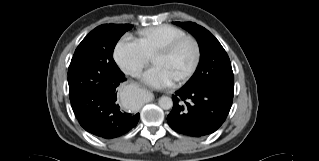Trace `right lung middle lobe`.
I'll list each match as a JSON object with an SVG mask.
<instances>
[{
  "label": "right lung middle lobe",
  "instance_id": "1",
  "mask_svg": "<svg viewBox=\"0 0 319 161\" xmlns=\"http://www.w3.org/2000/svg\"><path fill=\"white\" fill-rule=\"evenodd\" d=\"M132 27L129 24H104L83 39L68 68L70 100L98 83L112 80L121 72L113 59V51L120 37Z\"/></svg>",
  "mask_w": 319,
  "mask_h": 161
}]
</instances>
